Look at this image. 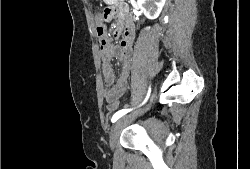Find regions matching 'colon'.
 I'll return each mask as SVG.
<instances>
[{
	"mask_svg": "<svg viewBox=\"0 0 250 169\" xmlns=\"http://www.w3.org/2000/svg\"><path fill=\"white\" fill-rule=\"evenodd\" d=\"M95 36L100 37V50H105V33H103V26L95 27ZM107 95H112V93H107ZM119 102L116 97H108L107 99L109 108H117V103Z\"/></svg>",
	"mask_w": 250,
	"mask_h": 169,
	"instance_id": "colon-1",
	"label": "colon"
}]
</instances>
